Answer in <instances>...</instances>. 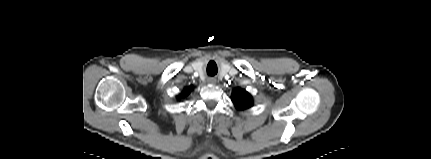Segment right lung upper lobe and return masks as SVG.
<instances>
[{
	"mask_svg": "<svg viewBox=\"0 0 431 159\" xmlns=\"http://www.w3.org/2000/svg\"><path fill=\"white\" fill-rule=\"evenodd\" d=\"M191 91V88H186L185 90H184V92H183V94H188L189 92Z\"/></svg>",
	"mask_w": 431,
	"mask_h": 159,
	"instance_id": "right-lung-upper-lobe-1",
	"label": "right lung upper lobe"
}]
</instances>
